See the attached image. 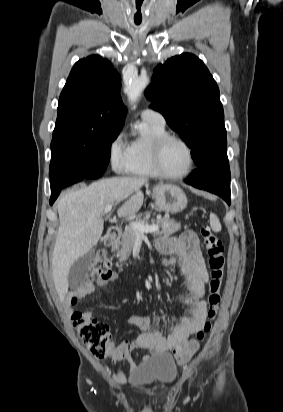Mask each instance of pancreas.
I'll use <instances>...</instances> for the list:
<instances>
[{
	"mask_svg": "<svg viewBox=\"0 0 283 412\" xmlns=\"http://www.w3.org/2000/svg\"><path fill=\"white\" fill-rule=\"evenodd\" d=\"M188 218V217H186ZM137 222L143 225H149V221L147 219L138 220ZM152 225H158L160 230L156 233L158 235L169 236L181 228V223L176 222L173 219H169L168 217L157 219L156 221H151ZM138 232L134 230L131 226L125 227L123 234L121 235V240H117L114 242L112 246V251L117 252V258H119L120 262H123L128 259L132 248L136 242Z\"/></svg>",
	"mask_w": 283,
	"mask_h": 412,
	"instance_id": "1",
	"label": "pancreas"
}]
</instances>
